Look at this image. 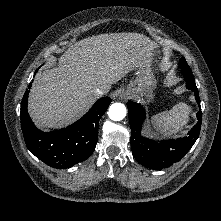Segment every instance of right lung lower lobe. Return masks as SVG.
Masks as SVG:
<instances>
[{
    "instance_id": "right-lung-lower-lobe-1",
    "label": "right lung lower lobe",
    "mask_w": 221,
    "mask_h": 221,
    "mask_svg": "<svg viewBox=\"0 0 221 221\" xmlns=\"http://www.w3.org/2000/svg\"><path fill=\"white\" fill-rule=\"evenodd\" d=\"M28 94L27 89L21 103L20 118L29 151L45 164L57 169L70 168L86 160L96 147L99 120L110 105L111 98H100L81 119L66 128L42 132L29 117Z\"/></svg>"
}]
</instances>
